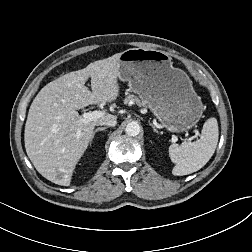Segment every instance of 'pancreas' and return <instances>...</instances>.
Returning <instances> with one entry per match:
<instances>
[{
	"label": "pancreas",
	"mask_w": 252,
	"mask_h": 252,
	"mask_svg": "<svg viewBox=\"0 0 252 252\" xmlns=\"http://www.w3.org/2000/svg\"><path fill=\"white\" fill-rule=\"evenodd\" d=\"M130 101H133L135 102L137 105L139 106H144L145 104L137 97V96H134V95H129L126 99H125V103H128Z\"/></svg>",
	"instance_id": "pancreas-1"
}]
</instances>
